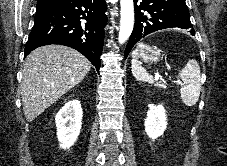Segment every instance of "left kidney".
Masks as SVG:
<instances>
[{"label":"left kidney","mask_w":227,"mask_h":166,"mask_svg":"<svg viewBox=\"0 0 227 166\" xmlns=\"http://www.w3.org/2000/svg\"><path fill=\"white\" fill-rule=\"evenodd\" d=\"M147 118L145 119V132L149 138L155 140L163 135L167 127L166 111L162 105H148Z\"/></svg>","instance_id":"5707ae66"}]
</instances>
